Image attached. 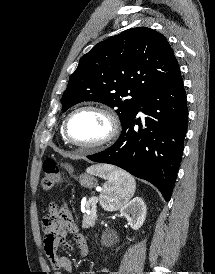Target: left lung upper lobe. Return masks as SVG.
<instances>
[{"label": "left lung upper lobe", "instance_id": "left-lung-upper-lobe-1", "mask_svg": "<svg viewBox=\"0 0 215 274\" xmlns=\"http://www.w3.org/2000/svg\"><path fill=\"white\" fill-rule=\"evenodd\" d=\"M178 71L174 52L162 34L146 27L128 29L81 57L62 96V110L97 101L116 107L123 124L151 90Z\"/></svg>", "mask_w": 215, "mask_h": 274}]
</instances>
